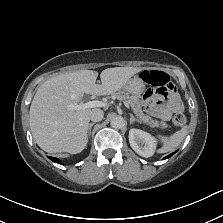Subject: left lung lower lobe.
<instances>
[{"label":"left lung lower lobe","instance_id":"0a47b994","mask_svg":"<svg viewBox=\"0 0 223 223\" xmlns=\"http://www.w3.org/2000/svg\"><path fill=\"white\" fill-rule=\"evenodd\" d=\"M176 153V151L175 152H173V153H171L170 155H168V156H166V157H164L163 159H167V158H170L173 154H175Z\"/></svg>","mask_w":223,"mask_h":223}]
</instances>
